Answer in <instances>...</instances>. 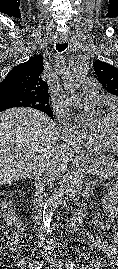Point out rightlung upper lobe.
Here are the masks:
<instances>
[{
    "mask_svg": "<svg viewBox=\"0 0 118 269\" xmlns=\"http://www.w3.org/2000/svg\"><path fill=\"white\" fill-rule=\"evenodd\" d=\"M43 70L41 54L15 66L0 83V102H3L8 94H19L48 103V85L42 78ZM44 113L53 117L51 110L44 111Z\"/></svg>",
    "mask_w": 118,
    "mask_h": 269,
    "instance_id": "cb5924a9",
    "label": "right lung upper lobe"
}]
</instances>
